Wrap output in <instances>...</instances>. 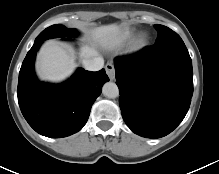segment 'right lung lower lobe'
<instances>
[{"instance_id":"right-lung-lower-lobe-1","label":"right lung lower lobe","mask_w":219,"mask_h":174,"mask_svg":"<svg viewBox=\"0 0 219 174\" xmlns=\"http://www.w3.org/2000/svg\"><path fill=\"white\" fill-rule=\"evenodd\" d=\"M42 43H34L27 53L18 80V103L28 124L50 138L72 135L86 124L91 106L109 81L104 69L98 72L80 68L58 85L38 81L34 60Z\"/></svg>"}]
</instances>
